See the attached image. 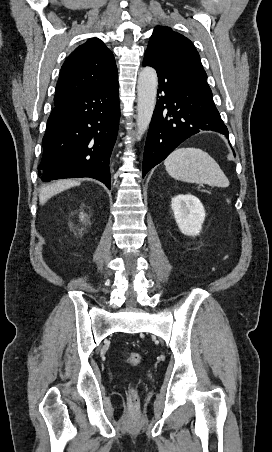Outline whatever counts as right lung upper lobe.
I'll return each instance as SVG.
<instances>
[{"instance_id": "obj_1", "label": "right lung upper lobe", "mask_w": 272, "mask_h": 452, "mask_svg": "<svg viewBox=\"0 0 272 452\" xmlns=\"http://www.w3.org/2000/svg\"><path fill=\"white\" fill-rule=\"evenodd\" d=\"M118 78L112 52L102 40L90 38L77 47L62 65L55 89L54 106L104 87Z\"/></svg>"}]
</instances>
